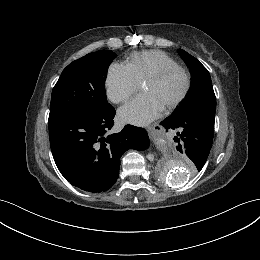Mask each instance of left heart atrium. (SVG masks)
<instances>
[{
	"mask_svg": "<svg viewBox=\"0 0 260 260\" xmlns=\"http://www.w3.org/2000/svg\"><path fill=\"white\" fill-rule=\"evenodd\" d=\"M163 108L152 94L145 93L124 105L119 110V117L124 122L142 125L159 116Z\"/></svg>",
	"mask_w": 260,
	"mask_h": 260,
	"instance_id": "obj_1",
	"label": "left heart atrium"
}]
</instances>
